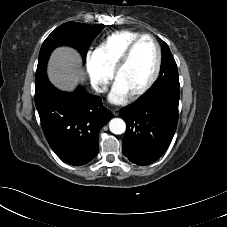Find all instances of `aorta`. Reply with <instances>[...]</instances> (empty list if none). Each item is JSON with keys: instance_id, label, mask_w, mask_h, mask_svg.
I'll list each match as a JSON object with an SVG mask.
<instances>
[{"instance_id": "1", "label": "aorta", "mask_w": 227, "mask_h": 227, "mask_svg": "<svg viewBox=\"0 0 227 227\" xmlns=\"http://www.w3.org/2000/svg\"><path fill=\"white\" fill-rule=\"evenodd\" d=\"M109 129L113 134L119 135L125 132L126 124L120 118H114L109 122Z\"/></svg>"}]
</instances>
